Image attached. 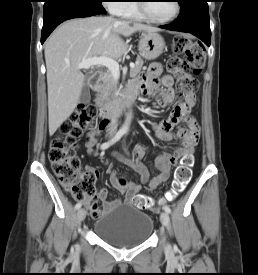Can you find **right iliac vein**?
<instances>
[{
  "label": "right iliac vein",
  "mask_w": 258,
  "mask_h": 275,
  "mask_svg": "<svg viewBox=\"0 0 258 275\" xmlns=\"http://www.w3.org/2000/svg\"><path fill=\"white\" fill-rule=\"evenodd\" d=\"M86 217V211L85 209H79L77 212V219L79 222H82Z\"/></svg>",
  "instance_id": "1"
}]
</instances>
